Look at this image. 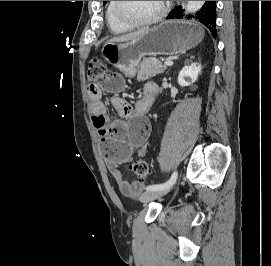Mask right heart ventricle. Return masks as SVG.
Wrapping results in <instances>:
<instances>
[{
	"instance_id": "e07e8e85",
	"label": "right heart ventricle",
	"mask_w": 271,
	"mask_h": 266,
	"mask_svg": "<svg viewBox=\"0 0 271 266\" xmlns=\"http://www.w3.org/2000/svg\"><path fill=\"white\" fill-rule=\"evenodd\" d=\"M115 1H108L105 11V18L109 29L115 34H123L131 30L129 27L122 23L115 15Z\"/></svg>"
}]
</instances>
